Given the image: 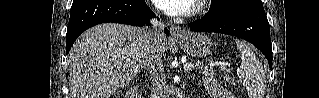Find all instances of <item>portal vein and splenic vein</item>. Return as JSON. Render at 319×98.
Instances as JSON below:
<instances>
[{"label":"portal vein and splenic vein","mask_w":319,"mask_h":98,"mask_svg":"<svg viewBox=\"0 0 319 98\" xmlns=\"http://www.w3.org/2000/svg\"><path fill=\"white\" fill-rule=\"evenodd\" d=\"M194 68V64L192 63H186L184 64V70L185 71H191ZM223 69V67H221Z\"/></svg>","instance_id":"portal-vein-and-splenic-vein-1"}]
</instances>
